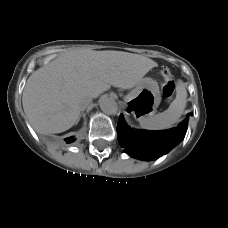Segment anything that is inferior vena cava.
Returning <instances> with one entry per match:
<instances>
[{
  "label": "inferior vena cava",
  "mask_w": 228,
  "mask_h": 228,
  "mask_svg": "<svg viewBox=\"0 0 228 228\" xmlns=\"http://www.w3.org/2000/svg\"><path fill=\"white\" fill-rule=\"evenodd\" d=\"M92 102V97L89 95H83L78 100V107L80 111H84L87 106Z\"/></svg>",
  "instance_id": "inferior-vena-cava-1"
}]
</instances>
